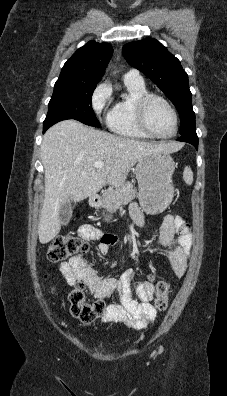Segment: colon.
I'll use <instances>...</instances> for the list:
<instances>
[{"mask_svg":"<svg viewBox=\"0 0 227 396\" xmlns=\"http://www.w3.org/2000/svg\"><path fill=\"white\" fill-rule=\"evenodd\" d=\"M89 250L87 242L80 240L74 235L56 237L49 245L47 256L52 262L63 261L77 253H86ZM155 287L154 307L158 311H164L168 304L169 285L155 276H151ZM86 284L76 281L73 290L69 294L72 315L84 323H90L106 313V304L102 299L88 303L85 297Z\"/></svg>","mask_w":227,"mask_h":396,"instance_id":"obj_1","label":"colon"}]
</instances>
